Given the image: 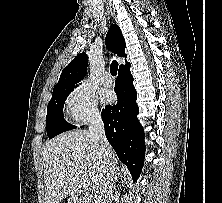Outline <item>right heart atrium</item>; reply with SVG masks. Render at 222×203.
<instances>
[{"instance_id": "d8ad5b80", "label": "right heart atrium", "mask_w": 222, "mask_h": 203, "mask_svg": "<svg viewBox=\"0 0 222 203\" xmlns=\"http://www.w3.org/2000/svg\"><path fill=\"white\" fill-rule=\"evenodd\" d=\"M66 104L67 113L74 124H84L99 117L95 94L85 86L74 89Z\"/></svg>"}]
</instances>
